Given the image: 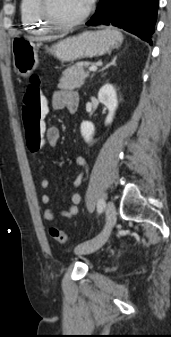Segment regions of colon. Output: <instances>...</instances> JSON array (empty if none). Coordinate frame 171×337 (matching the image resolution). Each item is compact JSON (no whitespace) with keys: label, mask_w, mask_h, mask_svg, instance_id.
<instances>
[{"label":"colon","mask_w":171,"mask_h":337,"mask_svg":"<svg viewBox=\"0 0 171 337\" xmlns=\"http://www.w3.org/2000/svg\"><path fill=\"white\" fill-rule=\"evenodd\" d=\"M48 95L42 94L41 81L38 75L30 77L23 96V126L27 148L31 152L39 151L43 146L45 118L49 116ZM51 237L59 243H67V234L55 227L50 228Z\"/></svg>","instance_id":"obj_1"}]
</instances>
